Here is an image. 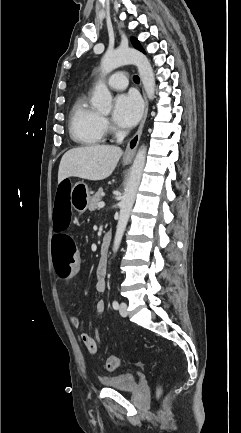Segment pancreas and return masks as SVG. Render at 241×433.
Masks as SVG:
<instances>
[{"label": "pancreas", "instance_id": "1", "mask_svg": "<svg viewBox=\"0 0 241 433\" xmlns=\"http://www.w3.org/2000/svg\"><path fill=\"white\" fill-rule=\"evenodd\" d=\"M103 194V190L99 189L96 194L90 199V202L88 204V209L90 211H95L98 208V203L101 201Z\"/></svg>", "mask_w": 241, "mask_h": 433}]
</instances>
